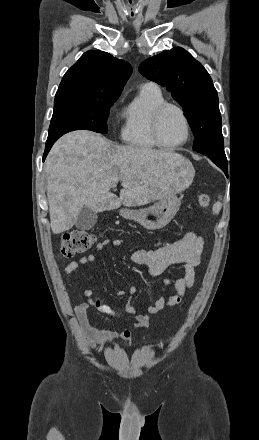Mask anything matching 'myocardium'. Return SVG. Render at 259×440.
I'll use <instances>...</instances> for the list:
<instances>
[{
  "label": "myocardium",
  "instance_id": "obj_1",
  "mask_svg": "<svg viewBox=\"0 0 259 440\" xmlns=\"http://www.w3.org/2000/svg\"><path fill=\"white\" fill-rule=\"evenodd\" d=\"M168 109H175L180 114V116L183 119L185 128H186V136H185L184 140H182L181 142H179L177 144H173V145L166 144L160 136L161 120H162L164 113ZM151 130H152V136H153L155 142L161 148L168 149V150H173V149H177V148L184 146L189 141L190 136H191V125H190L189 119H188L184 109L181 106H179L175 103H171V102H164L156 109V111L154 112V115H153V119H152Z\"/></svg>",
  "mask_w": 259,
  "mask_h": 440
}]
</instances>
